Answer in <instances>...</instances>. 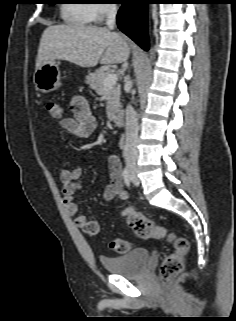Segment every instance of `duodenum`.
<instances>
[{
    "label": "duodenum",
    "instance_id": "410a0bca",
    "mask_svg": "<svg viewBox=\"0 0 236 321\" xmlns=\"http://www.w3.org/2000/svg\"><path fill=\"white\" fill-rule=\"evenodd\" d=\"M111 119L117 126H122L124 124V116L121 113H115L112 115Z\"/></svg>",
    "mask_w": 236,
    "mask_h": 321
}]
</instances>
